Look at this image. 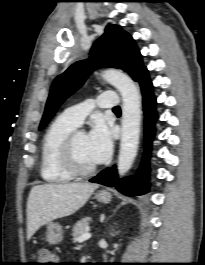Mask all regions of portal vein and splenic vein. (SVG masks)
Returning <instances> with one entry per match:
<instances>
[{
    "instance_id": "18ae733b",
    "label": "portal vein and splenic vein",
    "mask_w": 205,
    "mask_h": 265,
    "mask_svg": "<svg viewBox=\"0 0 205 265\" xmlns=\"http://www.w3.org/2000/svg\"><path fill=\"white\" fill-rule=\"evenodd\" d=\"M91 237V233L90 232H85L84 234H82L78 239L77 242L82 243L86 240H88Z\"/></svg>"
}]
</instances>
